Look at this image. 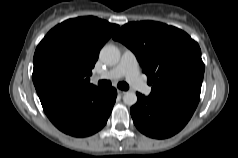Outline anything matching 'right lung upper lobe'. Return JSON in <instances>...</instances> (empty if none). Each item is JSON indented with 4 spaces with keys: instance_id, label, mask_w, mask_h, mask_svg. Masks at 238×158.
<instances>
[{
    "instance_id": "1",
    "label": "right lung upper lobe",
    "mask_w": 238,
    "mask_h": 158,
    "mask_svg": "<svg viewBox=\"0 0 238 158\" xmlns=\"http://www.w3.org/2000/svg\"><path fill=\"white\" fill-rule=\"evenodd\" d=\"M119 28L93 16L66 20L51 29L36 48L33 83L44 87L90 89L99 51Z\"/></svg>"
}]
</instances>
